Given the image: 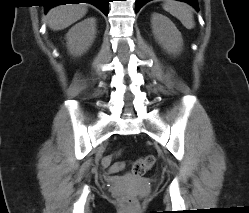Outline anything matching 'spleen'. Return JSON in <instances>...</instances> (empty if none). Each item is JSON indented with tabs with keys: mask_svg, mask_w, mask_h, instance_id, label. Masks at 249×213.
Wrapping results in <instances>:
<instances>
[{
	"mask_svg": "<svg viewBox=\"0 0 249 213\" xmlns=\"http://www.w3.org/2000/svg\"><path fill=\"white\" fill-rule=\"evenodd\" d=\"M163 8L171 15L181 21L187 29H193L195 26L193 14L190 7L183 2L175 0H165Z\"/></svg>",
	"mask_w": 249,
	"mask_h": 213,
	"instance_id": "3e777b00",
	"label": "spleen"
}]
</instances>
